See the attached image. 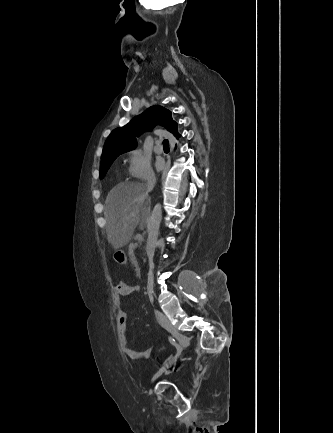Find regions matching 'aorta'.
Masks as SVG:
<instances>
[{"label": "aorta", "mask_w": 333, "mask_h": 433, "mask_svg": "<svg viewBox=\"0 0 333 433\" xmlns=\"http://www.w3.org/2000/svg\"><path fill=\"white\" fill-rule=\"evenodd\" d=\"M161 217H162V206L160 203H157L155 204L150 219L147 222L148 238L146 244V253L148 258H152L154 256L158 234H159Z\"/></svg>", "instance_id": "762f6f07"}]
</instances>
